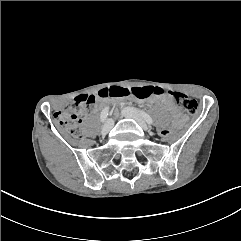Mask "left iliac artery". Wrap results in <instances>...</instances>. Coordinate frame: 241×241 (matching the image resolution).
<instances>
[{"mask_svg": "<svg viewBox=\"0 0 241 241\" xmlns=\"http://www.w3.org/2000/svg\"><path fill=\"white\" fill-rule=\"evenodd\" d=\"M141 114L148 124H153V120L150 117V115H148L147 113H145L143 111H141Z\"/></svg>", "mask_w": 241, "mask_h": 241, "instance_id": "left-iliac-artery-1", "label": "left iliac artery"}]
</instances>
